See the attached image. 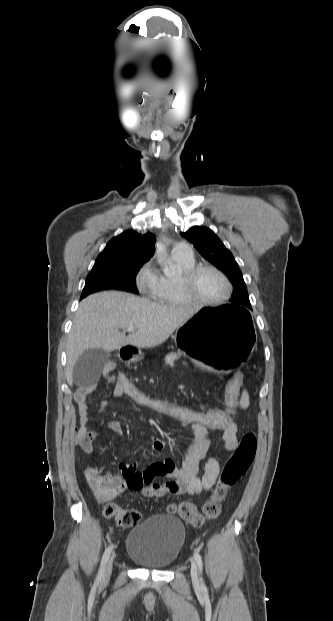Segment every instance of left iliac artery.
Masks as SVG:
<instances>
[{
	"mask_svg": "<svg viewBox=\"0 0 333 621\" xmlns=\"http://www.w3.org/2000/svg\"><path fill=\"white\" fill-rule=\"evenodd\" d=\"M194 559H195V561H196V563L198 565L199 571L202 572L203 562H202V558H201V556H200V554L198 552H194ZM201 588L203 590H206V586H205L202 578H201Z\"/></svg>",
	"mask_w": 333,
	"mask_h": 621,
	"instance_id": "obj_1",
	"label": "left iliac artery"
}]
</instances>
